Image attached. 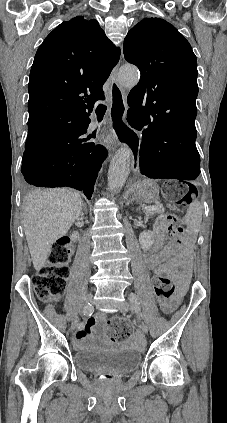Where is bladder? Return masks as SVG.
<instances>
[{
	"mask_svg": "<svg viewBox=\"0 0 227 423\" xmlns=\"http://www.w3.org/2000/svg\"><path fill=\"white\" fill-rule=\"evenodd\" d=\"M140 353L136 349L113 352L87 349L75 352L73 362L85 374L120 377L138 369L142 362Z\"/></svg>",
	"mask_w": 227,
	"mask_h": 423,
	"instance_id": "bladder-1",
	"label": "bladder"
}]
</instances>
